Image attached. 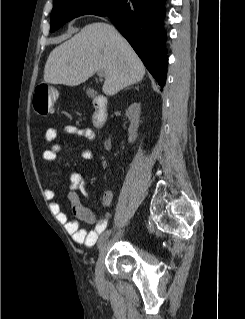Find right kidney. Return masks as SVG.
<instances>
[{"label": "right kidney", "instance_id": "1", "mask_svg": "<svg viewBox=\"0 0 245 319\" xmlns=\"http://www.w3.org/2000/svg\"><path fill=\"white\" fill-rule=\"evenodd\" d=\"M140 113L141 107L139 103H133L126 110V116L130 120V126L128 129L129 132V142L133 143L137 138V130L139 128L140 123Z\"/></svg>", "mask_w": 245, "mask_h": 319}]
</instances>
